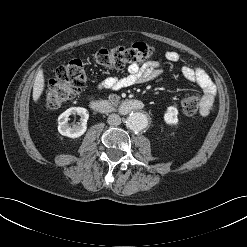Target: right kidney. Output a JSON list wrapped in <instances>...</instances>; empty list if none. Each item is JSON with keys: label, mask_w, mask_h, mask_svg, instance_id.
<instances>
[{"label": "right kidney", "mask_w": 247, "mask_h": 247, "mask_svg": "<svg viewBox=\"0 0 247 247\" xmlns=\"http://www.w3.org/2000/svg\"><path fill=\"white\" fill-rule=\"evenodd\" d=\"M72 114H78L81 117V122L72 127L68 124L69 116ZM89 113L87 109L83 107H71L58 117V131L61 135L77 138L83 135L87 130V120Z\"/></svg>", "instance_id": "ca27d5eb"}]
</instances>
